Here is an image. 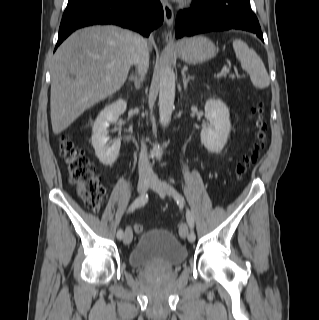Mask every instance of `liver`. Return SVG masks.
<instances>
[{"label": "liver", "instance_id": "6515ba94", "mask_svg": "<svg viewBox=\"0 0 319 320\" xmlns=\"http://www.w3.org/2000/svg\"><path fill=\"white\" fill-rule=\"evenodd\" d=\"M134 37L126 29L97 25L77 30L60 45L51 68L55 135L123 86L133 63Z\"/></svg>", "mask_w": 319, "mask_h": 320}]
</instances>
